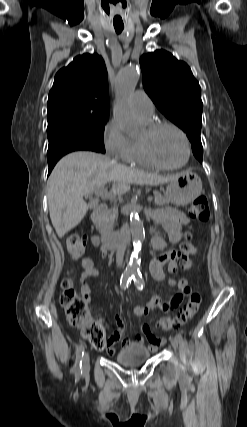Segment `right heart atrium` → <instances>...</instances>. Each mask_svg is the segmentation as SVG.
Segmentation results:
<instances>
[{"mask_svg": "<svg viewBox=\"0 0 247 427\" xmlns=\"http://www.w3.org/2000/svg\"><path fill=\"white\" fill-rule=\"evenodd\" d=\"M102 141L106 152L113 158L128 161L130 140L112 120L108 121L102 132Z\"/></svg>", "mask_w": 247, "mask_h": 427, "instance_id": "right-heart-atrium-1", "label": "right heart atrium"}]
</instances>
